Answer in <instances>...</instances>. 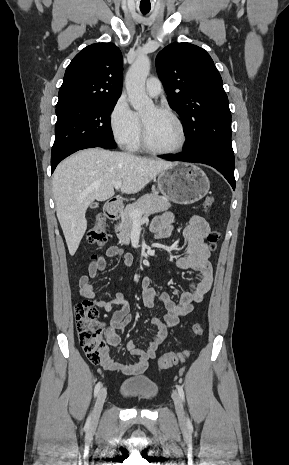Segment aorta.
<instances>
[{
  "mask_svg": "<svg viewBox=\"0 0 289 465\" xmlns=\"http://www.w3.org/2000/svg\"><path fill=\"white\" fill-rule=\"evenodd\" d=\"M150 72L148 57H139L131 65L126 75V90L128 98L136 111L142 112L153 107V101L145 91V81Z\"/></svg>",
  "mask_w": 289,
  "mask_h": 465,
  "instance_id": "762f6f07",
  "label": "aorta"
}]
</instances>
